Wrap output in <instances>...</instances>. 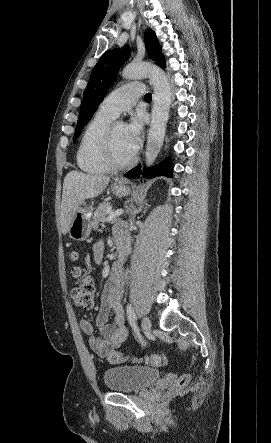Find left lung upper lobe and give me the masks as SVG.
Masks as SVG:
<instances>
[{
	"mask_svg": "<svg viewBox=\"0 0 271 443\" xmlns=\"http://www.w3.org/2000/svg\"><path fill=\"white\" fill-rule=\"evenodd\" d=\"M145 41L149 57L156 62L163 55L154 31H146ZM129 55L130 48L125 46L122 51L114 49L105 52L97 62L83 95L74 141L79 137L84 125L93 116L97 106L112 86L121 64L129 58Z\"/></svg>",
	"mask_w": 271,
	"mask_h": 443,
	"instance_id": "obj_1",
	"label": "left lung upper lobe"
}]
</instances>
